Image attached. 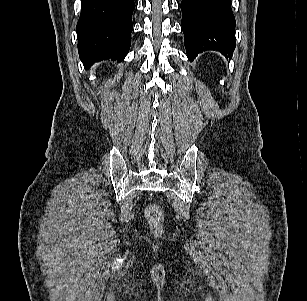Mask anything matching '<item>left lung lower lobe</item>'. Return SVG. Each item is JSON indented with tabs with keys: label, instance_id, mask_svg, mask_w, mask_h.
I'll use <instances>...</instances> for the list:
<instances>
[{
	"label": "left lung lower lobe",
	"instance_id": "0a47b994",
	"mask_svg": "<svg viewBox=\"0 0 307 301\" xmlns=\"http://www.w3.org/2000/svg\"><path fill=\"white\" fill-rule=\"evenodd\" d=\"M182 30L190 61L203 51L231 58L235 49V18L231 0H182Z\"/></svg>",
	"mask_w": 307,
	"mask_h": 301
}]
</instances>
